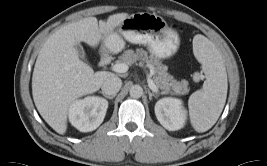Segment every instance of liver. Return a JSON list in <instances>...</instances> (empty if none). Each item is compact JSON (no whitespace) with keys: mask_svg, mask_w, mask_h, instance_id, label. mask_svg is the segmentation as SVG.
Listing matches in <instances>:
<instances>
[{"mask_svg":"<svg viewBox=\"0 0 267 166\" xmlns=\"http://www.w3.org/2000/svg\"><path fill=\"white\" fill-rule=\"evenodd\" d=\"M128 16L113 14L99 24L96 17H87L60 28L43 44L33 71L32 95L38 112L57 133H66L69 109L78 98L98 91L107 78L115 76L94 73L79 59L75 45L85 42L97 47Z\"/></svg>","mask_w":267,"mask_h":166,"instance_id":"1","label":"liver"}]
</instances>
